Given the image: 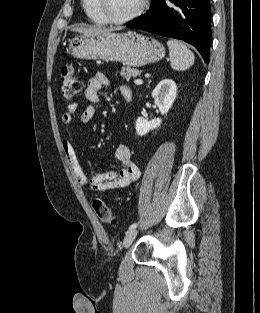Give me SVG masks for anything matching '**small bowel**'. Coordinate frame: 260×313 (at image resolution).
I'll return each instance as SVG.
<instances>
[{
	"instance_id": "1",
	"label": "small bowel",
	"mask_w": 260,
	"mask_h": 313,
	"mask_svg": "<svg viewBox=\"0 0 260 313\" xmlns=\"http://www.w3.org/2000/svg\"><path fill=\"white\" fill-rule=\"evenodd\" d=\"M109 83V79L104 73H97L89 79L85 89L88 105L82 111L80 117L83 123H89L93 120L96 105L99 102V92L107 87ZM119 92L123 101L130 102L132 100V91L128 86H121ZM76 110V104H69L62 116V122L66 125L71 124ZM62 146L76 180L87 190L104 192L123 188L135 182L140 176V170L132 158L131 150L125 144L118 145L114 152L115 158L122 164L120 170L93 175H88L83 170L78 162L74 145L70 140L64 139Z\"/></svg>"
}]
</instances>
